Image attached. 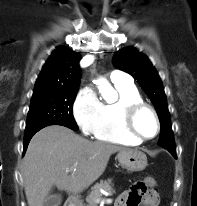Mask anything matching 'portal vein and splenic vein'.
<instances>
[{"label":"portal vein and splenic vein","mask_w":197,"mask_h":206,"mask_svg":"<svg viewBox=\"0 0 197 206\" xmlns=\"http://www.w3.org/2000/svg\"><path fill=\"white\" fill-rule=\"evenodd\" d=\"M72 170H73V169H67L66 171H67V172H70V171H72ZM107 202H108V203H111V202H112V199H107Z\"/></svg>","instance_id":"obj_1"}]
</instances>
